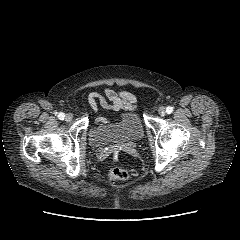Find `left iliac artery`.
I'll return each instance as SVG.
<instances>
[{"mask_svg": "<svg viewBox=\"0 0 240 240\" xmlns=\"http://www.w3.org/2000/svg\"><path fill=\"white\" fill-rule=\"evenodd\" d=\"M172 112H173V107L168 106V107L166 108V113H167V114H171Z\"/></svg>", "mask_w": 240, "mask_h": 240, "instance_id": "left-iliac-artery-1", "label": "left iliac artery"}]
</instances>
